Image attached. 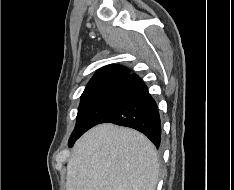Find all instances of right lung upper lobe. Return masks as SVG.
Masks as SVG:
<instances>
[{"label":"right lung upper lobe","mask_w":234,"mask_h":190,"mask_svg":"<svg viewBox=\"0 0 234 190\" xmlns=\"http://www.w3.org/2000/svg\"><path fill=\"white\" fill-rule=\"evenodd\" d=\"M130 73V70L124 66H105L95 73L85 89L100 86L117 80H126Z\"/></svg>","instance_id":"cb5924a9"}]
</instances>
